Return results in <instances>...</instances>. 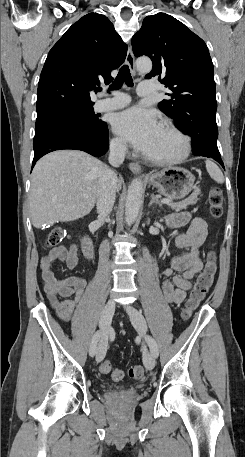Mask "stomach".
Segmentation results:
<instances>
[{"instance_id": "obj_1", "label": "stomach", "mask_w": 245, "mask_h": 457, "mask_svg": "<svg viewBox=\"0 0 245 457\" xmlns=\"http://www.w3.org/2000/svg\"><path fill=\"white\" fill-rule=\"evenodd\" d=\"M194 180V174L181 166H166L159 172H153L148 178V182L168 198H183L189 194Z\"/></svg>"}]
</instances>
